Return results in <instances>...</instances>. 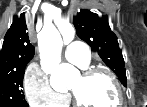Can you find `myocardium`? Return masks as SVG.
Instances as JSON below:
<instances>
[{"instance_id":"f54148a6","label":"myocardium","mask_w":147,"mask_h":107,"mask_svg":"<svg viewBox=\"0 0 147 107\" xmlns=\"http://www.w3.org/2000/svg\"><path fill=\"white\" fill-rule=\"evenodd\" d=\"M103 74L107 76L113 83L116 90V102L112 107H119L123 103V90L120 81L117 76L110 70L103 67H91L83 71L82 77L84 79H90L95 75ZM73 104L76 107H88L82 103L74 92H72Z\"/></svg>"}]
</instances>
